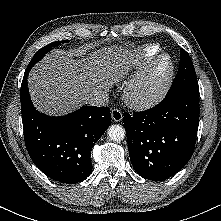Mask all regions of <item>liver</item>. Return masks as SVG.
Masks as SVG:
<instances>
[{
  "label": "liver",
  "instance_id": "liver-1",
  "mask_svg": "<svg viewBox=\"0 0 221 221\" xmlns=\"http://www.w3.org/2000/svg\"><path fill=\"white\" fill-rule=\"evenodd\" d=\"M136 64L135 54L121 46L90 53L82 47L55 49L31 70L30 95L39 111L63 115L85 104L88 96L109 91Z\"/></svg>",
  "mask_w": 221,
  "mask_h": 221
}]
</instances>
